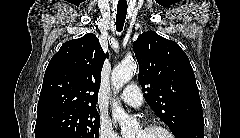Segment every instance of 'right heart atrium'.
Instances as JSON below:
<instances>
[{
	"label": "right heart atrium",
	"mask_w": 240,
	"mask_h": 138,
	"mask_svg": "<svg viewBox=\"0 0 240 138\" xmlns=\"http://www.w3.org/2000/svg\"><path fill=\"white\" fill-rule=\"evenodd\" d=\"M99 137L100 138H119L118 135L113 131L110 123L107 121H102L100 123Z\"/></svg>",
	"instance_id": "right-heart-atrium-1"
}]
</instances>
